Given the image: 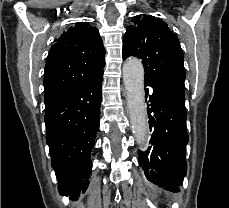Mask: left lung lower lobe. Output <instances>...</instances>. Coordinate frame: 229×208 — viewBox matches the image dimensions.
<instances>
[{"label":"left lung lower lobe","mask_w":229,"mask_h":208,"mask_svg":"<svg viewBox=\"0 0 229 208\" xmlns=\"http://www.w3.org/2000/svg\"><path fill=\"white\" fill-rule=\"evenodd\" d=\"M144 86H149L144 82ZM151 87V86H150ZM149 128L153 129L151 146L139 153V164L144 168L147 179L159 185L171 186L180 191L186 175L185 160L188 134L186 108L170 100L166 94L152 87L145 90Z\"/></svg>","instance_id":"obj_1"}]
</instances>
